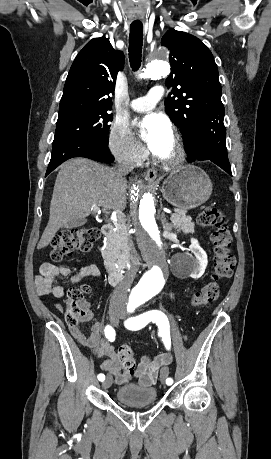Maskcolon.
Masks as SVG:
<instances>
[{"mask_svg": "<svg viewBox=\"0 0 271 459\" xmlns=\"http://www.w3.org/2000/svg\"><path fill=\"white\" fill-rule=\"evenodd\" d=\"M197 221L201 226L213 229L210 239L214 249V280L229 278L233 273L235 257L231 252L232 235L224 214L215 207H208L199 214ZM97 238L98 230L95 228L78 227L64 231L52 241L51 259L61 261L75 252L88 251ZM89 290V287L84 285L68 291L66 321L69 326H76L89 316L90 311L85 301V295ZM219 293L218 284L210 282L193 294L191 303L193 306L205 305L217 300ZM118 357L125 370H134L135 359L129 346H121L118 349Z\"/></svg>", "mask_w": 271, "mask_h": 459, "instance_id": "5ec220e1", "label": "colon"}]
</instances>
